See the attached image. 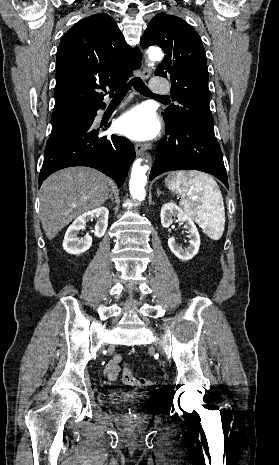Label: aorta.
Listing matches in <instances>:
<instances>
[{
    "instance_id": "aorta-1",
    "label": "aorta",
    "mask_w": 279,
    "mask_h": 465,
    "mask_svg": "<svg viewBox=\"0 0 279 465\" xmlns=\"http://www.w3.org/2000/svg\"><path fill=\"white\" fill-rule=\"evenodd\" d=\"M148 57L153 65L155 61L161 60L163 54L159 49H151L148 51ZM142 159H137L132 167L131 178L129 182L130 194L133 198L142 201L145 198V184L147 182L146 173L149 169L147 165H142Z\"/></svg>"
}]
</instances>
